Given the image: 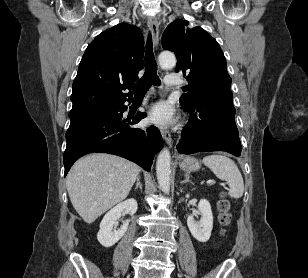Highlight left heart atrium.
Masks as SVG:
<instances>
[{
    "label": "left heart atrium",
    "instance_id": "39dd6f15",
    "mask_svg": "<svg viewBox=\"0 0 308 278\" xmlns=\"http://www.w3.org/2000/svg\"><path fill=\"white\" fill-rule=\"evenodd\" d=\"M150 122L159 126H168L174 123L175 114L172 106L166 101L155 103L148 113Z\"/></svg>",
    "mask_w": 308,
    "mask_h": 278
}]
</instances>
